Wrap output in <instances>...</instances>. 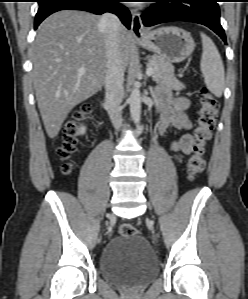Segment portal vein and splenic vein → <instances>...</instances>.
Returning a JSON list of instances; mask_svg holds the SVG:
<instances>
[{"instance_id": "18ae733b", "label": "portal vein and splenic vein", "mask_w": 248, "mask_h": 299, "mask_svg": "<svg viewBox=\"0 0 248 299\" xmlns=\"http://www.w3.org/2000/svg\"><path fill=\"white\" fill-rule=\"evenodd\" d=\"M79 72L80 73H84L85 72L84 68H81L79 70ZM146 74H147V76H152L153 75V68L152 67H148L147 70H146Z\"/></svg>"}]
</instances>
